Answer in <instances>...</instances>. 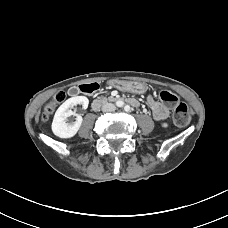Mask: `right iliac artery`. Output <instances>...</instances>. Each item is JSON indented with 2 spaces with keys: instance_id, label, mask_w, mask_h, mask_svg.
<instances>
[{
  "instance_id": "obj_1",
  "label": "right iliac artery",
  "mask_w": 228,
  "mask_h": 228,
  "mask_svg": "<svg viewBox=\"0 0 228 228\" xmlns=\"http://www.w3.org/2000/svg\"><path fill=\"white\" fill-rule=\"evenodd\" d=\"M116 105H117L118 107H122V106L124 105V103H123L122 101H118V102H116Z\"/></svg>"
}]
</instances>
